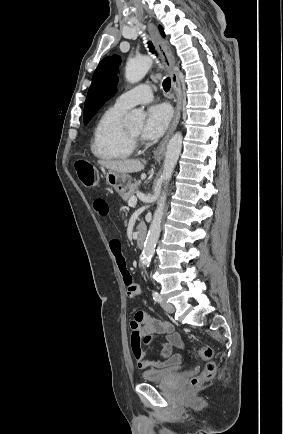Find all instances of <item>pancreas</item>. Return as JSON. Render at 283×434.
Returning <instances> with one entry per match:
<instances>
[{
	"label": "pancreas",
	"instance_id": "1",
	"mask_svg": "<svg viewBox=\"0 0 283 434\" xmlns=\"http://www.w3.org/2000/svg\"><path fill=\"white\" fill-rule=\"evenodd\" d=\"M139 185H140V182H135L134 184H132L130 186V188L127 191V193H125L122 196V199H123L124 202L129 201V199L134 196L135 190L138 188Z\"/></svg>",
	"mask_w": 283,
	"mask_h": 434
}]
</instances>
